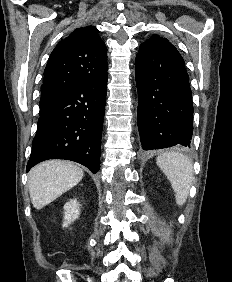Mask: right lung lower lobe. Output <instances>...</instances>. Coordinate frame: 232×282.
<instances>
[{"label": "right lung lower lobe", "mask_w": 232, "mask_h": 282, "mask_svg": "<svg viewBox=\"0 0 232 282\" xmlns=\"http://www.w3.org/2000/svg\"><path fill=\"white\" fill-rule=\"evenodd\" d=\"M107 79L108 73L69 88L40 114L27 172L48 159L99 171Z\"/></svg>", "instance_id": "obj_1"}]
</instances>
